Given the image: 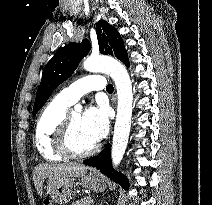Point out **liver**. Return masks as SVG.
<instances>
[{"label": "liver", "instance_id": "obj_1", "mask_svg": "<svg viewBox=\"0 0 212 205\" xmlns=\"http://www.w3.org/2000/svg\"><path fill=\"white\" fill-rule=\"evenodd\" d=\"M88 166L78 165V164H58V165H48L40 164L34 169V184L37 192L42 196V186L45 178L48 177H80L83 176L87 170Z\"/></svg>", "mask_w": 212, "mask_h": 205}]
</instances>
